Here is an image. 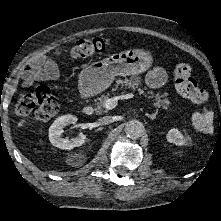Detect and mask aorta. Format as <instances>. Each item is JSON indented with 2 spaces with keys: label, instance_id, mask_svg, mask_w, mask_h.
Wrapping results in <instances>:
<instances>
[{
  "label": "aorta",
  "instance_id": "aorta-1",
  "mask_svg": "<svg viewBox=\"0 0 221 221\" xmlns=\"http://www.w3.org/2000/svg\"><path fill=\"white\" fill-rule=\"evenodd\" d=\"M124 131L130 138L137 139L144 133V125L138 120H130L125 124Z\"/></svg>",
  "mask_w": 221,
  "mask_h": 221
}]
</instances>
